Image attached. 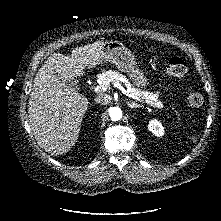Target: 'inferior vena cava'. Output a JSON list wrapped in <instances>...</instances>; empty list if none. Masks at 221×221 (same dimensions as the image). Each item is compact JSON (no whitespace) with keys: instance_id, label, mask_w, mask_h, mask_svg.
<instances>
[{"instance_id":"602c4592","label":"inferior vena cava","mask_w":221,"mask_h":221,"mask_svg":"<svg viewBox=\"0 0 221 221\" xmlns=\"http://www.w3.org/2000/svg\"><path fill=\"white\" fill-rule=\"evenodd\" d=\"M96 103H102V104H107L108 100L103 96V95H98L95 98Z\"/></svg>"}]
</instances>
